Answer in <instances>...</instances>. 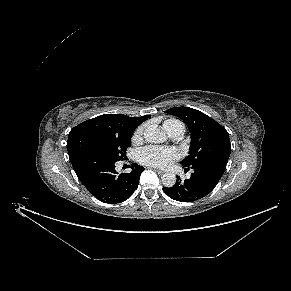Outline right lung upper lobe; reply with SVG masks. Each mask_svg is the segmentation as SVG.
<instances>
[{"label": "right lung upper lobe", "instance_id": "obj_1", "mask_svg": "<svg viewBox=\"0 0 291 291\" xmlns=\"http://www.w3.org/2000/svg\"><path fill=\"white\" fill-rule=\"evenodd\" d=\"M148 117L149 115L129 117L122 114H104L82 122L69 133L67 141L69 158L88 152L89 145L95 140L110 135H132L133 131Z\"/></svg>", "mask_w": 291, "mask_h": 291}]
</instances>
